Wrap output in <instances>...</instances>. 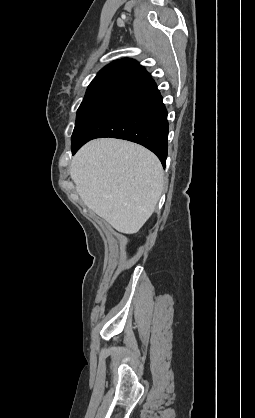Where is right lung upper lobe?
Segmentation results:
<instances>
[{"label": "right lung upper lobe", "mask_w": 255, "mask_h": 418, "mask_svg": "<svg viewBox=\"0 0 255 418\" xmlns=\"http://www.w3.org/2000/svg\"><path fill=\"white\" fill-rule=\"evenodd\" d=\"M147 78L150 74L137 61L122 59L104 67L90 85L111 84L126 88Z\"/></svg>", "instance_id": "1"}]
</instances>
